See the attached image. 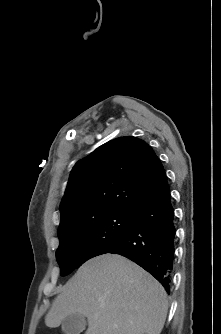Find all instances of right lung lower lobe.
Segmentation results:
<instances>
[{
  "label": "right lung lower lobe",
  "mask_w": 221,
  "mask_h": 334,
  "mask_svg": "<svg viewBox=\"0 0 221 334\" xmlns=\"http://www.w3.org/2000/svg\"><path fill=\"white\" fill-rule=\"evenodd\" d=\"M175 232L174 209L166 184L139 207L120 241L105 253L119 254L134 261L152 274L169 293Z\"/></svg>",
  "instance_id": "obj_1"
}]
</instances>
